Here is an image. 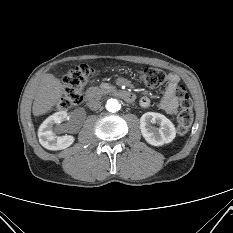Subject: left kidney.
Instances as JSON below:
<instances>
[{"label": "left kidney", "instance_id": "left-kidney-1", "mask_svg": "<svg viewBox=\"0 0 233 233\" xmlns=\"http://www.w3.org/2000/svg\"><path fill=\"white\" fill-rule=\"evenodd\" d=\"M157 123L158 128L151 124ZM140 129L144 139L153 146L170 143L176 136L174 124L164 115L156 112H146L140 118Z\"/></svg>", "mask_w": 233, "mask_h": 233}]
</instances>
